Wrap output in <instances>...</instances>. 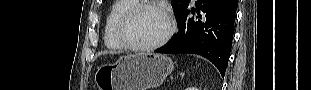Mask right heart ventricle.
I'll return each mask as SVG.
<instances>
[{"label":"right heart ventricle","mask_w":311,"mask_h":90,"mask_svg":"<svg viewBox=\"0 0 311 90\" xmlns=\"http://www.w3.org/2000/svg\"><path fill=\"white\" fill-rule=\"evenodd\" d=\"M136 3L135 0H117L112 4L104 26V43L108 49H124L117 35L118 22L121 16Z\"/></svg>","instance_id":"obj_1"}]
</instances>
